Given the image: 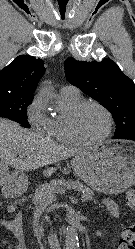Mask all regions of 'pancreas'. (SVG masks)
<instances>
[{
	"instance_id": "pancreas-1",
	"label": "pancreas",
	"mask_w": 135,
	"mask_h": 249,
	"mask_svg": "<svg viewBox=\"0 0 135 249\" xmlns=\"http://www.w3.org/2000/svg\"><path fill=\"white\" fill-rule=\"evenodd\" d=\"M69 182L64 180H52L49 183H45L42 186L38 187L35 192V196L32 199L36 208L40 211H44L48 204L51 203L50 198L51 196H55L61 187L66 186ZM81 191L84 192V196L88 200L93 199L94 192L86 187H79Z\"/></svg>"
}]
</instances>
